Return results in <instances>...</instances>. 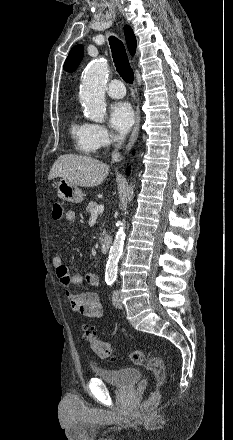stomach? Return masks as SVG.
I'll use <instances>...</instances> for the list:
<instances>
[{
  "mask_svg": "<svg viewBox=\"0 0 233 440\" xmlns=\"http://www.w3.org/2000/svg\"><path fill=\"white\" fill-rule=\"evenodd\" d=\"M56 188L58 197L63 201L70 203H80L83 201L84 194L82 190L65 179H60L57 182Z\"/></svg>",
  "mask_w": 233,
  "mask_h": 440,
  "instance_id": "1",
  "label": "stomach"
}]
</instances>
